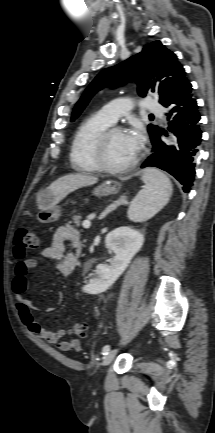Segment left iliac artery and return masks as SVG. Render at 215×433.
I'll list each match as a JSON object with an SVG mask.
<instances>
[{
    "mask_svg": "<svg viewBox=\"0 0 215 433\" xmlns=\"http://www.w3.org/2000/svg\"><path fill=\"white\" fill-rule=\"evenodd\" d=\"M109 350H110V346L109 345L104 346L103 349H102V354L103 355H107L108 352H109Z\"/></svg>",
    "mask_w": 215,
    "mask_h": 433,
    "instance_id": "44dca946",
    "label": "left iliac artery"
}]
</instances>
